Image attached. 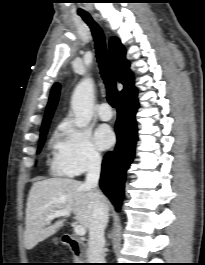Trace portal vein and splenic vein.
Segmentation results:
<instances>
[{"label":"portal vein and splenic vein","instance_id":"1","mask_svg":"<svg viewBox=\"0 0 205 265\" xmlns=\"http://www.w3.org/2000/svg\"><path fill=\"white\" fill-rule=\"evenodd\" d=\"M71 212L68 210H59V211H55L54 213H51L50 215L47 216V222H50L51 220H53L54 218L60 217V216H70ZM74 232L78 235V236H84L86 231L85 228L81 225L78 224H74Z\"/></svg>","mask_w":205,"mask_h":265}]
</instances>
